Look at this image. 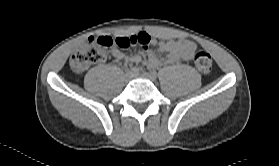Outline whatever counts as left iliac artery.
<instances>
[{
    "mask_svg": "<svg viewBox=\"0 0 279 166\" xmlns=\"http://www.w3.org/2000/svg\"><path fill=\"white\" fill-rule=\"evenodd\" d=\"M151 74L153 75V76H155V77H157V72L156 71H151Z\"/></svg>",
    "mask_w": 279,
    "mask_h": 166,
    "instance_id": "left-iliac-artery-1",
    "label": "left iliac artery"
}]
</instances>
